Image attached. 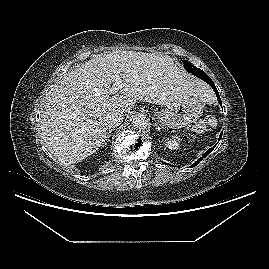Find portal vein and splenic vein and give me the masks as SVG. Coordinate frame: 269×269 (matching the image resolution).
Returning a JSON list of instances; mask_svg holds the SVG:
<instances>
[{
	"instance_id": "obj_1",
	"label": "portal vein and splenic vein",
	"mask_w": 269,
	"mask_h": 269,
	"mask_svg": "<svg viewBox=\"0 0 269 269\" xmlns=\"http://www.w3.org/2000/svg\"><path fill=\"white\" fill-rule=\"evenodd\" d=\"M123 86L122 81L120 79V77L117 75L115 78V82L112 85V88L110 89V93L111 94H115L119 89H121Z\"/></svg>"
}]
</instances>
